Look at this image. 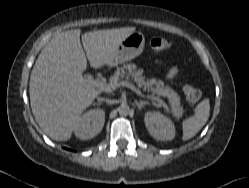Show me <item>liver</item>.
<instances>
[{"mask_svg":"<svg viewBox=\"0 0 249 188\" xmlns=\"http://www.w3.org/2000/svg\"><path fill=\"white\" fill-rule=\"evenodd\" d=\"M135 29L87 32L82 35L85 52L81 30H69L56 35L41 51L30 76V103L36 122L50 138L70 139L80 115L100 93L82 76L87 59L95 69L106 65L121 41Z\"/></svg>","mask_w":249,"mask_h":188,"instance_id":"1","label":"liver"}]
</instances>
